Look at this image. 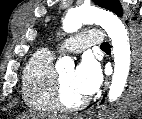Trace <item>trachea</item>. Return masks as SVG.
Masks as SVG:
<instances>
[{
	"mask_svg": "<svg viewBox=\"0 0 142 119\" xmlns=\"http://www.w3.org/2000/svg\"><path fill=\"white\" fill-rule=\"evenodd\" d=\"M101 48H102V49L110 48V44H109L108 42H104V43L101 45Z\"/></svg>",
	"mask_w": 142,
	"mask_h": 119,
	"instance_id": "trachea-1",
	"label": "trachea"
}]
</instances>
